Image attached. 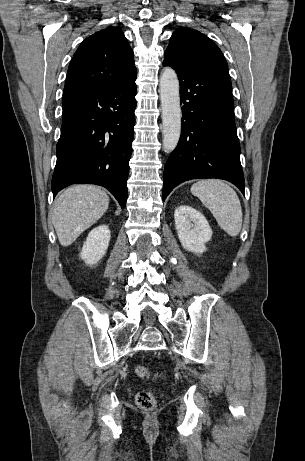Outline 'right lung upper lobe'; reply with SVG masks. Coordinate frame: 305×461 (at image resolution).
I'll use <instances>...</instances> for the list:
<instances>
[{
    "label": "right lung upper lobe",
    "mask_w": 305,
    "mask_h": 461,
    "mask_svg": "<svg viewBox=\"0 0 305 461\" xmlns=\"http://www.w3.org/2000/svg\"><path fill=\"white\" fill-rule=\"evenodd\" d=\"M135 76L133 51L124 34L118 28H106L86 38L75 52L64 96L106 89Z\"/></svg>",
    "instance_id": "obj_1"
}]
</instances>
